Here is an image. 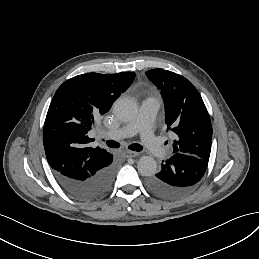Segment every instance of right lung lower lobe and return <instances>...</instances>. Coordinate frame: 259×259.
<instances>
[{"label": "right lung lower lobe", "instance_id": "right-lung-lower-lobe-1", "mask_svg": "<svg viewBox=\"0 0 259 259\" xmlns=\"http://www.w3.org/2000/svg\"><path fill=\"white\" fill-rule=\"evenodd\" d=\"M113 156L95 172L87 177H69L53 170L54 177L59 185L71 196L78 200L88 201L100 198L110 189L115 166L112 164Z\"/></svg>", "mask_w": 259, "mask_h": 259}]
</instances>
